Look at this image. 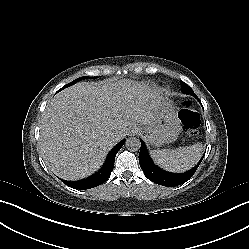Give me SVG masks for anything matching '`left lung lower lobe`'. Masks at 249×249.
<instances>
[{"instance_id":"0a47b994","label":"left lung lower lobe","mask_w":249,"mask_h":249,"mask_svg":"<svg viewBox=\"0 0 249 249\" xmlns=\"http://www.w3.org/2000/svg\"><path fill=\"white\" fill-rule=\"evenodd\" d=\"M139 161L146 177L157 184L175 185L177 183H182L189 177V175L194 173L192 170L191 173H186L184 175H170L162 170H159L156 166H154L152 161L149 160L147 150L142 140Z\"/></svg>"}]
</instances>
